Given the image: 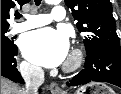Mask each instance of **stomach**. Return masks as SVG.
Here are the masks:
<instances>
[{
    "label": "stomach",
    "instance_id": "0dacf381",
    "mask_svg": "<svg viewBox=\"0 0 121 94\" xmlns=\"http://www.w3.org/2000/svg\"><path fill=\"white\" fill-rule=\"evenodd\" d=\"M74 94H115L114 90L103 83H90L80 87Z\"/></svg>",
    "mask_w": 121,
    "mask_h": 94
}]
</instances>
